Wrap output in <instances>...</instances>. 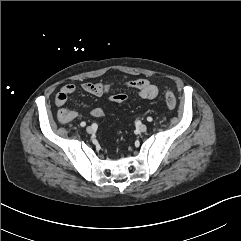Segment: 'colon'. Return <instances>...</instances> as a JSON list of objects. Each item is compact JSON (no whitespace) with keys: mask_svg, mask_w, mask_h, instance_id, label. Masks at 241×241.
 Instances as JSON below:
<instances>
[{"mask_svg":"<svg viewBox=\"0 0 241 241\" xmlns=\"http://www.w3.org/2000/svg\"><path fill=\"white\" fill-rule=\"evenodd\" d=\"M126 98L127 96L125 94L119 93V94L113 95L111 99L114 102L121 103L125 101ZM165 102L169 109H174L176 107V104H177L176 97L171 91H166Z\"/></svg>","mask_w":241,"mask_h":241,"instance_id":"1","label":"colon"}]
</instances>
